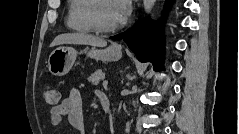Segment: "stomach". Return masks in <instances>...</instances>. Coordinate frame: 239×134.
Instances as JSON below:
<instances>
[{"instance_id":"1","label":"stomach","mask_w":239,"mask_h":134,"mask_svg":"<svg viewBox=\"0 0 239 134\" xmlns=\"http://www.w3.org/2000/svg\"><path fill=\"white\" fill-rule=\"evenodd\" d=\"M91 58L102 61H117L121 58L120 48L109 46L105 49L85 50ZM78 52L72 47L60 46L53 50L48 59L49 72L54 76H63L72 68Z\"/></svg>"}]
</instances>
